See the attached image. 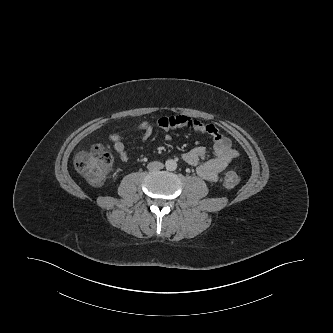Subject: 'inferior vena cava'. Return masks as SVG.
Segmentation results:
<instances>
[{
	"label": "inferior vena cava",
	"mask_w": 333,
	"mask_h": 333,
	"mask_svg": "<svg viewBox=\"0 0 333 333\" xmlns=\"http://www.w3.org/2000/svg\"><path fill=\"white\" fill-rule=\"evenodd\" d=\"M163 167H164L163 163L158 162V161L150 162L147 165V169L149 171H158V170H161Z\"/></svg>",
	"instance_id": "602c4592"
}]
</instances>
